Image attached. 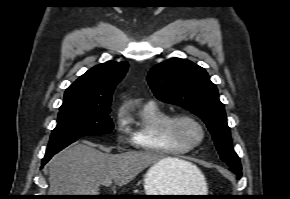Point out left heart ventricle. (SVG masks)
Here are the masks:
<instances>
[{"label": "left heart ventricle", "instance_id": "left-heart-ventricle-1", "mask_svg": "<svg viewBox=\"0 0 290 199\" xmlns=\"http://www.w3.org/2000/svg\"><path fill=\"white\" fill-rule=\"evenodd\" d=\"M180 130L187 138L192 139V140H195L199 138L200 136L199 129L192 124H183L180 127Z\"/></svg>", "mask_w": 290, "mask_h": 199}]
</instances>
